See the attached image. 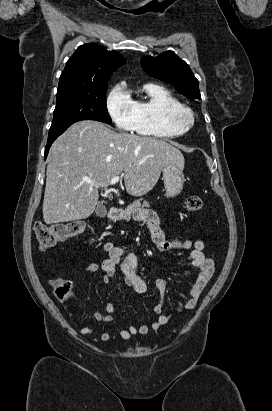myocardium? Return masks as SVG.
Wrapping results in <instances>:
<instances>
[{"label": "myocardium", "instance_id": "f54148a6", "mask_svg": "<svg viewBox=\"0 0 272 411\" xmlns=\"http://www.w3.org/2000/svg\"><path fill=\"white\" fill-rule=\"evenodd\" d=\"M166 118L168 125L182 134L194 124V114L188 108L171 109L167 112Z\"/></svg>", "mask_w": 272, "mask_h": 411}]
</instances>
